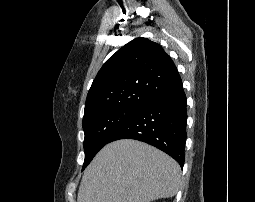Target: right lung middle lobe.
Instances as JSON below:
<instances>
[{
	"label": "right lung middle lobe",
	"instance_id": "dd1d6c3e",
	"mask_svg": "<svg viewBox=\"0 0 255 202\" xmlns=\"http://www.w3.org/2000/svg\"><path fill=\"white\" fill-rule=\"evenodd\" d=\"M138 110L139 107H115L98 111L83 118L85 160L82 171L97 152L109 143L110 138L117 130Z\"/></svg>",
	"mask_w": 255,
	"mask_h": 202
}]
</instances>
